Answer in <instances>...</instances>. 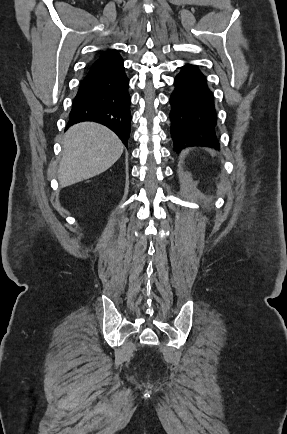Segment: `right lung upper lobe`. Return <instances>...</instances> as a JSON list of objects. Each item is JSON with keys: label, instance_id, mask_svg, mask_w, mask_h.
<instances>
[{"label": "right lung upper lobe", "instance_id": "cb5924a9", "mask_svg": "<svg viewBox=\"0 0 287 434\" xmlns=\"http://www.w3.org/2000/svg\"><path fill=\"white\" fill-rule=\"evenodd\" d=\"M114 51H116V50H112V51H110V52L103 51V52H101L100 56H103V55H106V54L112 53V52H114Z\"/></svg>", "mask_w": 287, "mask_h": 434}]
</instances>
